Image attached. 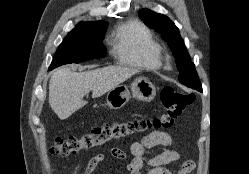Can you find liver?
<instances>
[{
    "mask_svg": "<svg viewBox=\"0 0 249 174\" xmlns=\"http://www.w3.org/2000/svg\"><path fill=\"white\" fill-rule=\"evenodd\" d=\"M139 70L122 66H108L85 72H72L60 68L49 82V105L61 119H67L86 105L83 97L92 91L97 98L120 85Z\"/></svg>",
    "mask_w": 249,
    "mask_h": 174,
    "instance_id": "1",
    "label": "liver"
}]
</instances>
